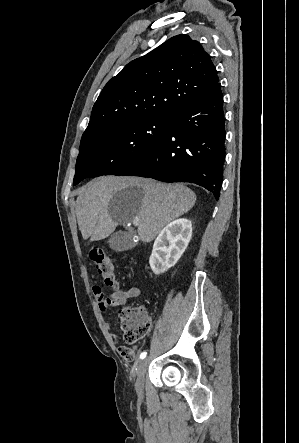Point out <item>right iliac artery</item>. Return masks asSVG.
Here are the masks:
<instances>
[{
  "instance_id": "82829eb1",
  "label": "right iliac artery",
  "mask_w": 299,
  "mask_h": 443,
  "mask_svg": "<svg viewBox=\"0 0 299 443\" xmlns=\"http://www.w3.org/2000/svg\"><path fill=\"white\" fill-rule=\"evenodd\" d=\"M147 353L146 352H142L140 354V359H144L146 357Z\"/></svg>"
}]
</instances>
